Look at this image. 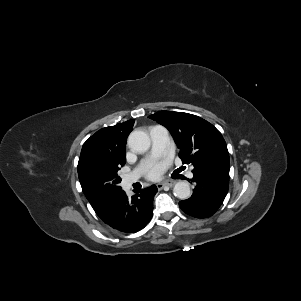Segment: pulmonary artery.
<instances>
[{
  "label": "pulmonary artery",
  "mask_w": 301,
  "mask_h": 301,
  "mask_svg": "<svg viewBox=\"0 0 301 301\" xmlns=\"http://www.w3.org/2000/svg\"><path fill=\"white\" fill-rule=\"evenodd\" d=\"M149 134L152 143L149 159H153L165 153L169 142V132L165 127L155 125L150 128ZM139 176L140 172L138 169L126 175L123 179L124 186L129 187L132 183L138 180ZM188 176L193 177V174L189 172Z\"/></svg>",
  "instance_id": "pulmonary-artery-1"
}]
</instances>
